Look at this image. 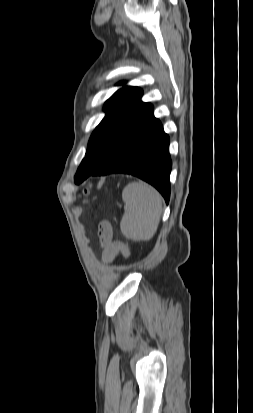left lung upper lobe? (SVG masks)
Listing matches in <instances>:
<instances>
[{"instance_id": "5c2ea615", "label": "left lung upper lobe", "mask_w": 253, "mask_h": 413, "mask_svg": "<svg viewBox=\"0 0 253 413\" xmlns=\"http://www.w3.org/2000/svg\"><path fill=\"white\" fill-rule=\"evenodd\" d=\"M141 97L140 88L123 87L106 101V116L90 137L85 158L75 175L76 183L85 180L111 157L122 134V122L138 117L150 106Z\"/></svg>"}]
</instances>
